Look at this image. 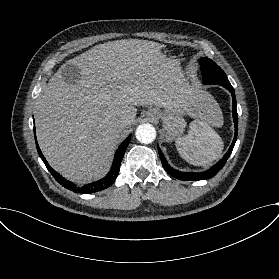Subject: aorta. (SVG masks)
Instances as JSON below:
<instances>
[{
	"label": "aorta",
	"instance_id": "762f6f07",
	"mask_svg": "<svg viewBox=\"0 0 279 279\" xmlns=\"http://www.w3.org/2000/svg\"><path fill=\"white\" fill-rule=\"evenodd\" d=\"M135 135L139 142L149 144L156 138V130L151 124L144 123L137 127Z\"/></svg>",
	"mask_w": 279,
	"mask_h": 279
}]
</instances>
